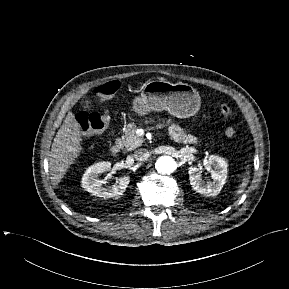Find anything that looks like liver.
<instances>
[{
	"label": "liver",
	"instance_id": "1",
	"mask_svg": "<svg viewBox=\"0 0 289 289\" xmlns=\"http://www.w3.org/2000/svg\"><path fill=\"white\" fill-rule=\"evenodd\" d=\"M81 141V126L69 111L51 147L49 169L54 187L61 182L70 165L78 158L82 150Z\"/></svg>",
	"mask_w": 289,
	"mask_h": 289
}]
</instances>
